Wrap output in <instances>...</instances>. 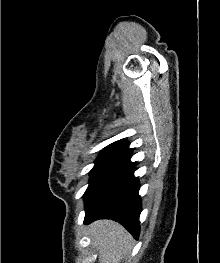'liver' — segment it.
Returning <instances> with one entry per match:
<instances>
[{
  "label": "liver",
  "mask_w": 220,
  "mask_h": 263,
  "mask_svg": "<svg viewBox=\"0 0 220 263\" xmlns=\"http://www.w3.org/2000/svg\"><path fill=\"white\" fill-rule=\"evenodd\" d=\"M92 246L99 254V263H121L133 241L123 226L112 220H98L90 225Z\"/></svg>",
  "instance_id": "6515ba94"
}]
</instances>
